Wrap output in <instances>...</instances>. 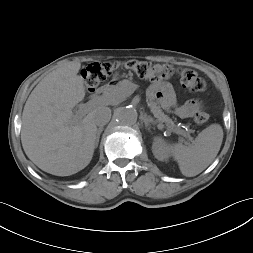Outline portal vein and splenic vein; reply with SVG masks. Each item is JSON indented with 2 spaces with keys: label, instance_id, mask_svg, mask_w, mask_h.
<instances>
[{
  "label": "portal vein and splenic vein",
  "instance_id": "obj_1",
  "mask_svg": "<svg viewBox=\"0 0 253 253\" xmlns=\"http://www.w3.org/2000/svg\"><path fill=\"white\" fill-rule=\"evenodd\" d=\"M91 107L92 105L90 103L80 104L78 113L74 116L73 121L77 122L83 115H85L91 109ZM179 134L183 136L187 135L184 131L179 132Z\"/></svg>",
  "mask_w": 253,
  "mask_h": 253
}]
</instances>
